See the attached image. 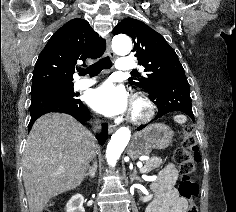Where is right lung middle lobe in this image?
<instances>
[{"label":"right lung middle lobe","mask_w":236,"mask_h":212,"mask_svg":"<svg viewBox=\"0 0 236 212\" xmlns=\"http://www.w3.org/2000/svg\"><path fill=\"white\" fill-rule=\"evenodd\" d=\"M44 93H47L49 95H52L54 97L61 98L65 101L71 102V103H79L81 102L80 99H77L76 94L73 90V85L69 86H57V87H49L42 90H38Z\"/></svg>","instance_id":"obj_1"}]
</instances>
